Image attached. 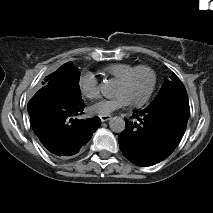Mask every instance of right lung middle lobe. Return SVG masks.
Wrapping results in <instances>:
<instances>
[{
    "label": "right lung middle lobe",
    "mask_w": 213,
    "mask_h": 213,
    "mask_svg": "<svg viewBox=\"0 0 213 213\" xmlns=\"http://www.w3.org/2000/svg\"><path fill=\"white\" fill-rule=\"evenodd\" d=\"M79 72L72 62L63 64L57 71L44 78L43 85H56L71 93L81 96L79 88Z\"/></svg>",
    "instance_id": "right-lung-middle-lobe-1"
}]
</instances>
